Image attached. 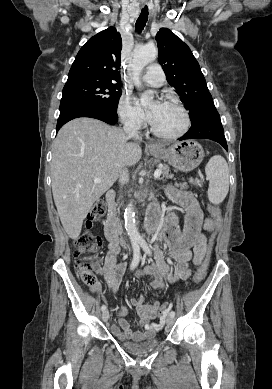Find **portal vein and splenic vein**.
Masks as SVG:
<instances>
[{"instance_id":"18ae733b","label":"portal vein and splenic vein","mask_w":272,"mask_h":389,"mask_svg":"<svg viewBox=\"0 0 272 389\" xmlns=\"http://www.w3.org/2000/svg\"><path fill=\"white\" fill-rule=\"evenodd\" d=\"M161 173H162V170L161 169H157L155 172H154V178L155 179H158L160 176H161ZM102 180L101 179H94V182L95 183H99L101 182Z\"/></svg>"}]
</instances>
